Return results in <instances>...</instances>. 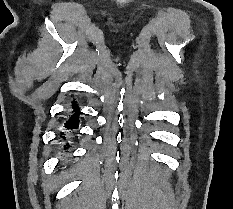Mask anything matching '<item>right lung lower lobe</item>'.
<instances>
[{"instance_id": "1", "label": "right lung lower lobe", "mask_w": 233, "mask_h": 209, "mask_svg": "<svg viewBox=\"0 0 233 209\" xmlns=\"http://www.w3.org/2000/svg\"><path fill=\"white\" fill-rule=\"evenodd\" d=\"M74 113H75V116H72L65 124H64V128L67 130L66 132L62 133V136L61 138L63 140L66 139V137L70 136L71 135V132L69 130H72V129H76L79 125V119H78V115L79 114V108L77 105H74ZM69 144L66 143L65 146H64V149H67L69 148Z\"/></svg>"}]
</instances>
